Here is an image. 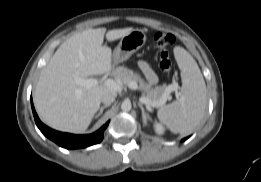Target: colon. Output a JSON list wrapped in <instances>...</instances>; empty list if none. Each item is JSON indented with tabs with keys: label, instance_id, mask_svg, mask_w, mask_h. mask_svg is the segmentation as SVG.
Masks as SVG:
<instances>
[{
	"label": "colon",
	"instance_id": "obj_1",
	"mask_svg": "<svg viewBox=\"0 0 261 182\" xmlns=\"http://www.w3.org/2000/svg\"><path fill=\"white\" fill-rule=\"evenodd\" d=\"M154 39L160 51L159 66L162 71L168 73L172 65L168 48L174 44L175 38L170 33L157 32L154 36Z\"/></svg>",
	"mask_w": 261,
	"mask_h": 182
}]
</instances>
